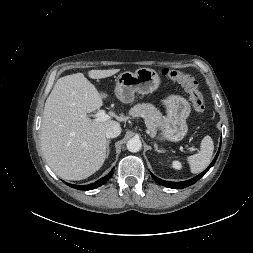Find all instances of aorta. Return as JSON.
Wrapping results in <instances>:
<instances>
[{
	"instance_id": "aorta-1",
	"label": "aorta",
	"mask_w": 253,
	"mask_h": 253,
	"mask_svg": "<svg viewBox=\"0 0 253 253\" xmlns=\"http://www.w3.org/2000/svg\"><path fill=\"white\" fill-rule=\"evenodd\" d=\"M126 145H127V149L133 153L138 152L139 150H141V147H142V143L139 138L129 139Z\"/></svg>"
}]
</instances>
